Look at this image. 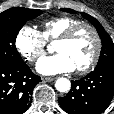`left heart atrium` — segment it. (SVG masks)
<instances>
[{
  "mask_svg": "<svg viewBox=\"0 0 114 114\" xmlns=\"http://www.w3.org/2000/svg\"><path fill=\"white\" fill-rule=\"evenodd\" d=\"M36 69L43 75H55L72 72L76 67L67 55L57 53L40 59L36 65Z\"/></svg>",
  "mask_w": 114,
  "mask_h": 114,
  "instance_id": "1",
  "label": "left heart atrium"
}]
</instances>
